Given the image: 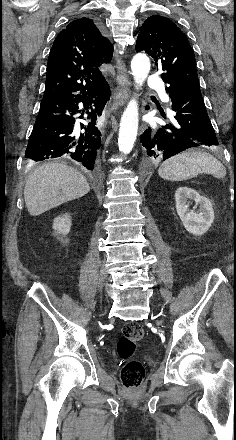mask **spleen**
<instances>
[{"mask_svg":"<svg viewBox=\"0 0 236 440\" xmlns=\"http://www.w3.org/2000/svg\"><path fill=\"white\" fill-rule=\"evenodd\" d=\"M202 172L212 174L216 178L226 175V169L218 159L210 153L194 150L167 159L158 169L159 176L169 181L191 179Z\"/></svg>","mask_w":236,"mask_h":440,"instance_id":"1","label":"spleen"}]
</instances>
